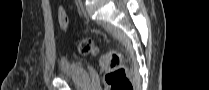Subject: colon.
<instances>
[{"label":"colon","mask_w":209,"mask_h":90,"mask_svg":"<svg viewBox=\"0 0 209 90\" xmlns=\"http://www.w3.org/2000/svg\"><path fill=\"white\" fill-rule=\"evenodd\" d=\"M57 16L60 28L66 31L69 27L66 10L60 7ZM79 52L82 55L100 54V67L105 74L104 79L108 90H133V84L128 77L121 53L113 50L103 51L90 39L80 42Z\"/></svg>","instance_id":"5ec220e1"}]
</instances>
